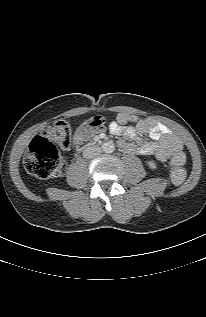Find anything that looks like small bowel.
<instances>
[{
  "instance_id": "obj_1",
  "label": "small bowel",
  "mask_w": 206,
  "mask_h": 317,
  "mask_svg": "<svg viewBox=\"0 0 206 317\" xmlns=\"http://www.w3.org/2000/svg\"><path fill=\"white\" fill-rule=\"evenodd\" d=\"M109 130L114 135L135 138L137 135H148L150 142L140 145L121 141L120 144L129 153L154 156L159 162L167 161L171 156L181 153V140L173 135L163 124L151 118H141L129 112H121L111 122Z\"/></svg>"
}]
</instances>
